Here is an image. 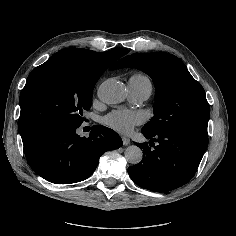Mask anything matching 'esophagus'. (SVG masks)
Returning <instances> with one entry per match:
<instances>
[{
  "label": "esophagus",
  "instance_id": "esophagus-1",
  "mask_svg": "<svg viewBox=\"0 0 236 236\" xmlns=\"http://www.w3.org/2000/svg\"><path fill=\"white\" fill-rule=\"evenodd\" d=\"M122 141H123V145H129L130 144V139L125 137V136H122Z\"/></svg>",
  "mask_w": 236,
  "mask_h": 236
}]
</instances>
